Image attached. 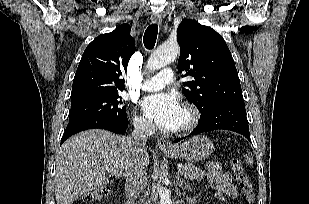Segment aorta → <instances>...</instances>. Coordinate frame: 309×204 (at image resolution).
<instances>
[{
    "instance_id": "1",
    "label": "aorta",
    "mask_w": 309,
    "mask_h": 204,
    "mask_svg": "<svg viewBox=\"0 0 309 204\" xmlns=\"http://www.w3.org/2000/svg\"><path fill=\"white\" fill-rule=\"evenodd\" d=\"M180 52L177 43L167 42L158 47L147 61V69L150 71L159 70L173 62ZM160 204H172L170 193L167 188L159 189Z\"/></svg>"
}]
</instances>
